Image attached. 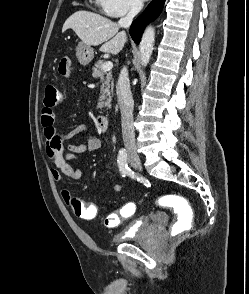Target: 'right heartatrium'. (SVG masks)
<instances>
[{
  "mask_svg": "<svg viewBox=\"0 0 249 294\" xmlns=\"http://www.w3.org/2000/svg\"><path fill=\"white\" fill-rule=\"evenodd\" d=\"M102 11L111 17H122L141 7V0H97Z\"/></svg>",
  "mask_w": 249,
  "mask_h": 294,
  "instance_id": "obj_1",
  "label": "right heart atrium"
}]
</instances>
